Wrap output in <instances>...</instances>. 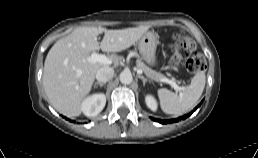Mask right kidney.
<instances>
[{"label":"right kidney","instance_id":"right-kidney-1","mask_svg":"<svg viewBox=\"0 0 258 158\" xmlns=\"http://www.w3.org/2000/svg\"><path fill=\"white\" fill-rule=\"evenodd\" d=\"M105 104L106 97L104 94H93L82 102L81 109L87 117H95L103 110Z\"/></svg>","mask_w":258,"mask_h":158}]
</instances>
